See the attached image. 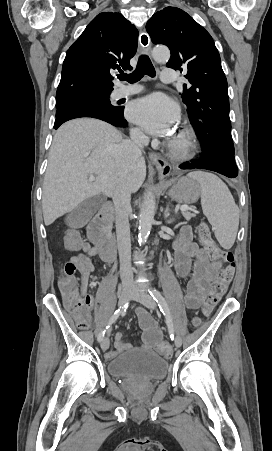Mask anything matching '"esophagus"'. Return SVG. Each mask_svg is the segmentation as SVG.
<instances>
[{
    "instance_id": "34e87169",
    "label": "esophagus",
    "mask_w": 272,
    "mask_h": 451,
    "mask_svg": "<svg viewBox=\"0 0 272 451\" xmlns=\"http://www.w3.org/2000/svg\"><path fill=\"white\" fill-rule=\"evenodd\" d=\"M139 44L141 46V50L144 53L150 52V48H151L150 47V37L146 32L140 33ZM149 158H150L151 163L156 166L157 170L159 171V173L162 177H166L169 175V173L171 172V166L164 158H162L161 156H159L158 154L153 153V152L149 153Z\"/></svg>"
}]
</instances>
